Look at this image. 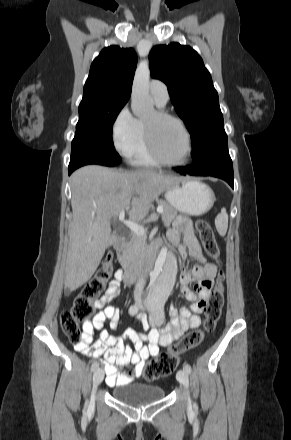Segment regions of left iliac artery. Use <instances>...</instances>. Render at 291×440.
I'll return each instance as SVG.
<instances>
[{"label": "left iliac artery", "instance_id": "left-iliac-artery-1", "mask_svg": "<svg viewBox=\"0 0 291 440\" xmlns=\"http://www.w3.org/2000/svg\"><path fill=\"white\" fill-rule=\"evenodd\" d=\"M184 369H185L188 373H191V366H190L188 363H186V364L184 365Z\"/></svg>", "mask_w": 291, "mask_h": 440}]
</instances>
